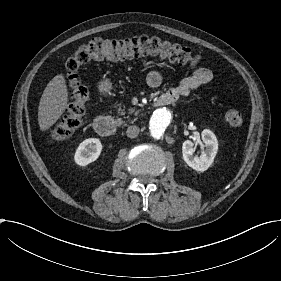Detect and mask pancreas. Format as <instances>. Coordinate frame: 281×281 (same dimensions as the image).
<instances>
[{"mask_svg":"<svg viewBox=\"0 0 281 281\" xmlns=\"http://www.w3.org/2000/svg\"><path fill=\"white\" fill-rule=\"evenodd\" d=\"M119 111H120V115H124V112H122L121 109H120ZM129 112H130V113L135 112V109H134V108H131V109L129 110ZM136 113H137V111H136Z\"/></svg>","mask_w":281,"mask_h":281,"instance_id":"obj_1","label":"pancreas"}]
</instances>
